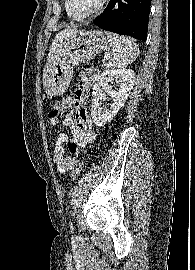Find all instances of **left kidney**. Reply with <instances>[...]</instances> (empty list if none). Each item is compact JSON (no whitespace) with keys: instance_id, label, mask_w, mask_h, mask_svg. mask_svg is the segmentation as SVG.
<instances>
[{"instance_id":"5707ae66","label":"left kidney","mask_w":195,"mask_h":270,"mask_svg":"<svg viewBox=\"0 0 195 270\" xmlns=\"http://www.w3.org/2000/svg\"><path fill=\"white\" fill-rule=\"evenodd\" d=\"M119 84L118 90H113L109 83ZM135 82V73L131 69H105L97 78L92 91L91 117L97 126H103L110 122L123 107ZM108 94L113 103L110 109H103L102 101Z\"/></svg>"}]
</instances>
